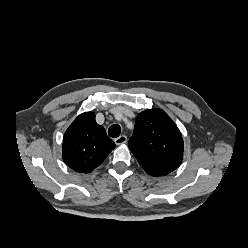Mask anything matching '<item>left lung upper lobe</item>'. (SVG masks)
Here are the masks:
<instances>
[{
  "instance_id": "obj_1",
  "label": "left lung upper lobe",
  "mask_w": 248,
  "mask_h": 248,
  "mask_svg": "<svg viewBox=\"0 0 248 248\" xmlns=\"http://www.w3.org/2000/svg\"><path fill=\"white\" fill-rule=\"evenodd\" d=\"M129 148L142 168L152 176H165L182 162V135L161 109L146 110L135 120Z\"/></svg>"
}]
</instances>
